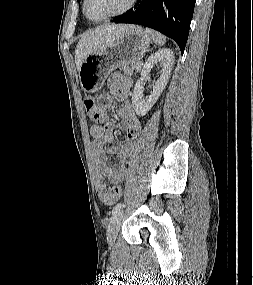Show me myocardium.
<instances>
[{"label": "myocardium", "instance_id": "myocardium-1", "mask_svg": "<svg viewBox=\"0 0 253 285\" xmlns=\"http://www.w3.org/2000/svg\"><path fill=\"white\" fill-rule=\"evenodd\" d=\"M137 1L138 0H129L128 4L123 9H121L120 11H117L115 13L106 15V16L101 17V18H96V19L89 17L87 14V11H86L87 0H83L82 9H83V13H84L85 17L89 21H91V22H103V21H106V20H109V19H112V18H115L117 16H120V15L127 13L136 5Z\"/></svg>", "mask_w": 253, "mask_h": 285}]
</instances>
